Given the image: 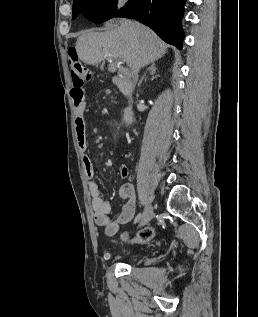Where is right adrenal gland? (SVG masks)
Returning a JSON list of instances; mask_svg holds the SVG:
<instances>
[{"label": "right adrenal gland", "instance_id": "1", "mask_svg": "<svg viewBox=\"0 0 258 317\" xmlns=\"http://www.w3.org/2000/svg\"><path fill=\"white\" fill-rule=\"evenodd\" d=\"M148 70H149L150 74H155V72L157 70V66H156L155 62H150V66H148L146 72H148ZM156 76H159V74H156ZM144 78H145V74H143L141 80H139L138 86H141Z\"/></svg>", "mask_w": 258, "mask_h": 317}]
</instances>
